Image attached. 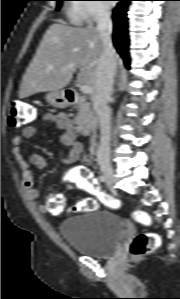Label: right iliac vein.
Listing matches in <instances>:
<instances>
[{
    "instance_id": "right-iliac-vein-1",
    "label": "right iliac vein",
    "mask_w": 180,
    "mask_h": 299,
    "mask_svg": "<svg viewBox=\"0 0 180 299\" xmlns=\"http://www.w3.org/2000/svg\"><path fill=\"white\" fill-rule=\"evenodd\" d=\"M100 170L102 171L104 177H105V181L107 183L108 186H112L113 184V168L111 166V164L106 160V159H102L100 161Z\"/></svg>"
}]
</instances>
